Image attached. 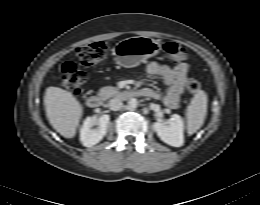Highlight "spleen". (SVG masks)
Masks as SVG:
<instances>
[{
	"label": "spleen",
	"instance_id": "1",
	"mask_svg": "<svg viewBox=\"0 0 260 205\" xmlns=\"http://www.w3.org/2000/svg\"><path fill=\"white\" fill-rule=\"evenodd\" d=\"M207 103V94L203 90H197L186 111L187 132L189 135L196 133L204 124Z\"/></svg>",
	"mask_w": 260,
	"mask_h": 205
}]
</instances>
